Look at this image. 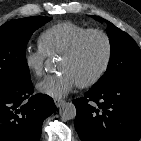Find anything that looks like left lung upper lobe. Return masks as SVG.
Instances as JSON below:
<instances>
[{
  "instance_id": "left-lung-upper-lobe-1",
  "label": "left lung upper lobe",
  "mask_w": 141,
  "mask_h": 141,
  "mask_svg": "<svg viewBox=\"0 0 141 141\" xmlns=\"http://www.w3.org/2000/svg\"><path fill=\"white\" fill-rule=\"evenodd\" d=\"M108 25L107 34L111 45V56L105 74L92 88H101L124 80L141 79V50L127 33L109 21L92 16Z\"/></svg>"
}]
</instances>
